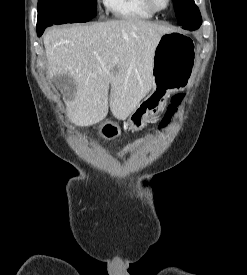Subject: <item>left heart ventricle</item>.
<instances>
[{
  "label": "left heart ventricle",
  "instance_id": "1",
  "mask_svg": "<svg viewBox=\"0 0 247 275\" xmlns=\"http://www.w3.org/2000/svg\"><path fill=\"white\" fill-rule=\"evenodd\" d=\"M155 4L159 8H163L166 5L167 0H154Z\"/></svg>",
  "mask_w": 247,
  "mask_h": 275
}]
</instances>
